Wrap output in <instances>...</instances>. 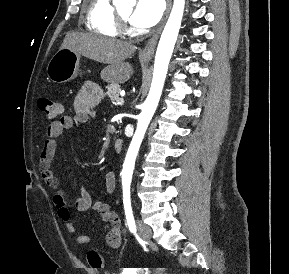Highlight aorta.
Segmentation results:
<instances>
[{
    "mask_svg": "<svg viewBox=\"0 0 289 274\" xmlns=\"http://www.w3.org/2000/svg\"><path fill=\"white\" fill-rule=\"evenodd\" d=\"M122 3L128 0H115ZM185 0H174L169 19L162 32L155 56L153 79L149 94L138 117L137 128L129 146L122 170V183L129 185L132 179L136 156L144 138L147 127L158 106L169 61L177 40L184 13Z\"/></svg>",
    "mask_w": 289,
    "mask_h": 274,
    "instance_id": "1",
    "label": "aorta"
}]
</instances>
